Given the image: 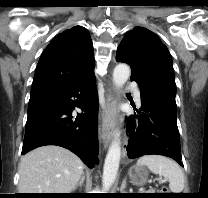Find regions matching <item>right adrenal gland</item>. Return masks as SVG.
<instances>
[{"label":"right adrenal gland","instance_id":"obj_1","mask_svg":"<svg viewBox=\"0 0 208 198\" xmlns=\"http://www.w3.org/2000/svg\"><path fill=\"white\" fill-rule=\"evenodd\" d=\"M84 180H85V173L83 172L80 181L75 185L73 190H76L78 187H82Z\"/></svg>","mask_w":208,"mask_h":198}]
</instances>
